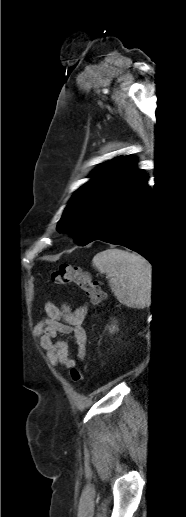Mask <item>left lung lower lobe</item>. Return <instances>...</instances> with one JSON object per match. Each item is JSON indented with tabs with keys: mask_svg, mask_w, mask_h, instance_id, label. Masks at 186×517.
Listing matches in <instances>:
<instances>
[{
	"mask_svg": "<svg viewBox=\"0 0 186 517\" xmlns=\"http://www.w3.org/2000/svg\"><path fill=\"white\" fill-rule=\"evenodd\" d=\"M147 176L134 184L104 215L89 243L101 240L138 252L156 266L151 246V192Z\"/></svg>",
	"mask_w": 186,
	"mask_h": 517,
	"instance_id": "1",
	"label": "left lung lower lobe"
}]
</instances>
